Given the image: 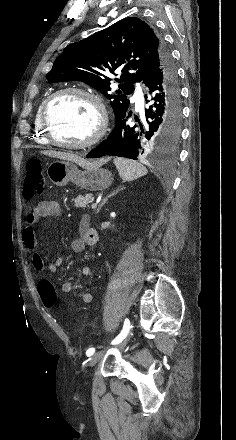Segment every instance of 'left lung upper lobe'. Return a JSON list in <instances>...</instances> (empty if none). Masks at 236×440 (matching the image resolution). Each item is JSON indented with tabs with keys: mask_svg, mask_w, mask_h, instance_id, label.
<instances>
[{
	"mask_svg": "<svg viewBox=\"0 0 236 440\" xmlns=\"http://www.w3.org/2000/svg\"><path fill=\"white\" fill-rule=\"evenodd\" d=\"M169 52L163 38L147 23L128 17L92 36L67 46L46 75L50 82L82 81L100 91L114 110L115 118L129 107L127 95L141 82L151 63ZM121 70L120 90L115 95L109 75Z\"/></svg>",
	"mask_w": 236,
	"mask_h": 440,
	"instance_id": "left-lung-upper-lobe-1",
	"label": "left lung upper lobe"
}]
</instances>
